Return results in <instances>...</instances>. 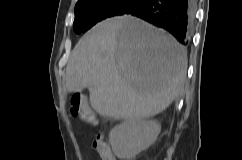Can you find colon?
Listing matches in <instances>:
<instances>
[{
    "label": "colon",
    "instance_id": "obj_1",
    "mask_svg": "<svg viewBox=\"0 0 242 160\" xmlns=\"http://www.w3.org/2000/svg\"><path fill=\"white\" fill-rule=\"evenodd\" d=\"M70 112L72 116L90 125L96 126L98 124V121L90 109L86 98L82 94L76 93L72 96ZM93 146L97 150L101 160H113L114 157L109 146L102 140L100 136L95 139Z\"/></svg>",
    "mask_w": 242,
    "mask_h": 160
}]
</instances>
